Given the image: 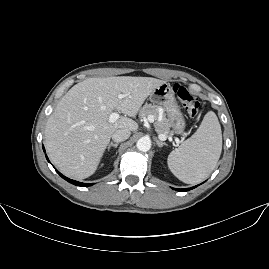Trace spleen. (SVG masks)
I'll return each mask as SVG.
<instances>
[{
  "label": "spleen",
  "mask_w": 269,
  "mask_h": 269,
  "mask_svg": "<svg viewBox=\"0 0 269 269\" xmlns=\"http://www.w3.org/2000/svg\"><path fill=\"white\" fill-rule=\"evenodd\" d=\"M222 151V132L216 114L209 111L198 130L168 156L171 172L186 184H197L214 170Z\"/></svg>",
  "instance_id": "spleen-1"
}]
</instances>
